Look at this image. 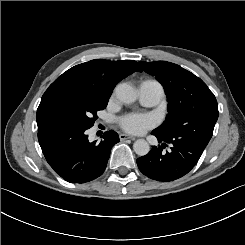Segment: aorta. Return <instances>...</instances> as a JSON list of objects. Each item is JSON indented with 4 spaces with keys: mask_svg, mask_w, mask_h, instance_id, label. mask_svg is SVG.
Wrapping results in <instances>:
<instances>
[{
    "mask_svg": "<svg viewBox=\"0 0 245 245\" xmlns=\"http://www.w3.org/2000/svg\"><path fill=\"white\" fill-rule=\"evenodd\" d=\"M115 94L118 100L125 104H130L137 99L135 90L128 84H119L115 89ZM135 153L139 156H145L150 151L148 142L144 139H138L133 144Z\"/></svg>",
    "mask_w": 245,
    "mask_h": 245,
    "instance_id": "762f6f07",
    "label": "aorta"
}]
</instances>
